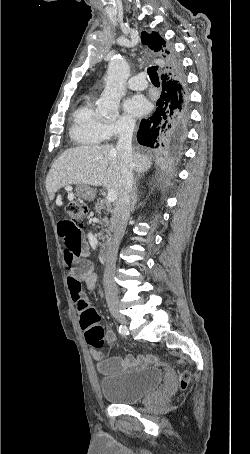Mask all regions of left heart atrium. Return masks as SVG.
I'll use <instances>...</instances> for the list:
<instances>
[{
  "label": "left heart atrium",
  "mask_w": 250,
  "mask_h": 454,
  "mask_svg": "<svg viewBox=\"0 0 250 454\" xmlns=\"http://www.w3.org/2000/svg\"><path fill=\"white\" fill-rule=\"evenodd\" d=\"M125 113L133 118H138L147 113L149 104L141 95L129 97L123 105Z\"/></svg>",
  "instance_id": "39dd6f15"
}]
</instances>
